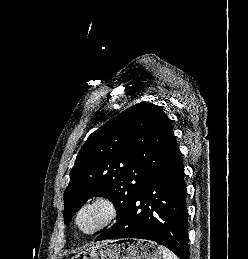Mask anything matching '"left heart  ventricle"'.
Listing matches in <instances>:
<instances>
[{
	"instance_id": "obj_1",
	"label": "left heart ventricle",
	"mask_w": 248,
	"mask_h": 259,
	"mask_svg": "<svg viewBox=\"0 0 248 259\" xmlns=\"http://www.w3.org/2000/svg\"><path fill=\"white\" fill-rule=\"evenodd\" d=\"M106 215L103 207L94 206L86 209L79 218L80 227L83 230H91L99 225Z\"/></svg>"
}]
</instances>
